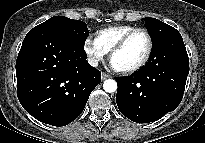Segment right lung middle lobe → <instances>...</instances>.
Segmentation results:
<instances>
[{
  "label": "right lung middle lobe",
  "mask_w": 205,
  "mask_h": 143,
  "mask_svg": "<svg viewBox=\"0 0 205 143\" xmlns=\"http://www.w3.org/2000/svg\"><path fill=\"white\" fill-rule=\"evenodd\" d=\"M33 29L54 31L82 47H84L85 39L89 34L86 23L80 20H73L65 16L51 17Z\"/></svg>",
  "instance_id": "1"
}]
</instances>
